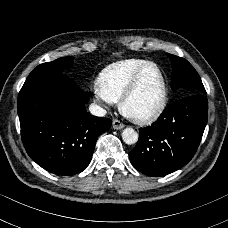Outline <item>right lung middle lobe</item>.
I'll return each mask as SVG.
<instances>
[{
  "label": "right lung middle lobe",
  "mask_w": 228,
  "mask_h": 228,
  "mask_svg": "<svg viewBox=\"0 0 228 228\" xmlns=\"http://www.w3.org/2000/svg\"><path fill=\"white\" fill-rule=\"evenodd\" d=\"M73 57H62L58 58L52 62L43 63L37 66L28 76V78L46 74V73H55L62 72L65 68L70 66L73 63Z\"/></svg>",
  "instance_id": "obj_1"
}]
</instances>
